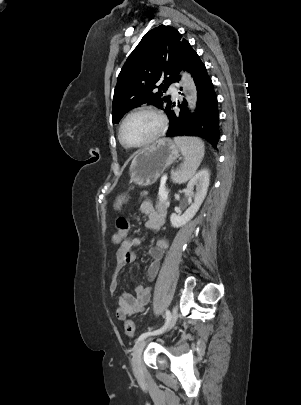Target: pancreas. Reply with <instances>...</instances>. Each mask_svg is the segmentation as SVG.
<instances>
[{
    "label": "pancreas",
    "mask_w": 301,
    "mask_h": 405,
    "mask_svg": "<svg viewBox=\"0 0 301 405\" xmlns=\"http://www.w3.org/2000/svg\"><path fill=\"white\" fill-rule=\"evenodd\" d=\"M169 206V201L166 199H162L159 195V200L156 203V209L159 213H166V210Z\"/></svg>",
    "instance_id": "1"
}]
</instances>
